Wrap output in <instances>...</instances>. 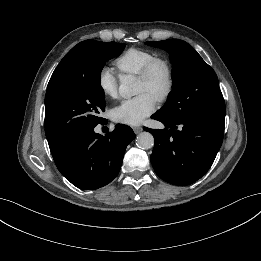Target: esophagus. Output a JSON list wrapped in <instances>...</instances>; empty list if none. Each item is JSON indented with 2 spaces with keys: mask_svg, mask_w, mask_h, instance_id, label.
<instances>
[{
  "mask_svg": "<svg viewBox=\"0 0 261 261\" xmlns=\"http://www.w3.org/2000/svg\"><path fill=\"white\" fill-rule=\"evenodd\" d=\"M143 128L140 126H134L133 127V131L135 134H139L140 132H142Z\"/></svg>",
  "mask_w": 261,
  "mask_h": 261,
  "instance_id": "esophagus-1",
  "label": "esophagus"
}]
</instances>
